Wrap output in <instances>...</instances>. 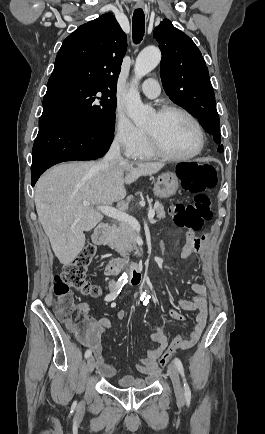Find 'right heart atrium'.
<instances>
[{
	"label": "right heart atrium",
	"instance_id": "d8ad5b80",
	"mask_svg": "<svg viewBox=\"0 0 265 434\" xmlns=\"http://www.w3.org/2000/svg\"><path fill=\"white\" fill-rule=\"evenodd\" d=\"M115 113V122H112L111 128L112 131L121 132H115L112 147L120 148L122 159H132L133 154H138L145 148V132L141 125H135L127 115L128 108L125 101L116 103ZM134 141L138 144L133 145Z\"/></svg>",
	"mask_w": 265,
	"mask_h": 434
}]
</instances>
